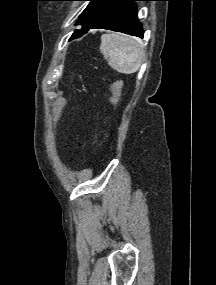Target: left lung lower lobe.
<instances>
[{"label":"left lung lower lobe","mask_w":216,"mask_h":285,"mask_svg":"<svg viewBox=\"0 0 216 285\" xmlns=\"http://www.w3.org/2000/svg\"><path fill=\"white\" fill-rule=\"evenodd\" d=\"M135 1L145 0H118L104 11L88 28L83 31H75L70 39L82 36L90 29H109L132 36L143 38L142 25L137 18Z\"/></svg>","instance_id":"1"}]
</instances>
